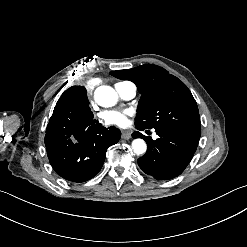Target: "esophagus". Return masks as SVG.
<instances>
[{
  "mask_svg": "<svg viewBox=\"0 0 247 247\" xmlns=\"http://www.w3.org/2000/svg\"><path fill=\"white\" fill-rule=\"evenodd\" d=\"M122 138L123 139H130L131 138V132L130 131H123L122 132Z\"/></svg>",
  "mask_w": 247,
  "mask_h": 247,
  "instance_id": "1",
  "label": "esophagus"
}]
</instances>
